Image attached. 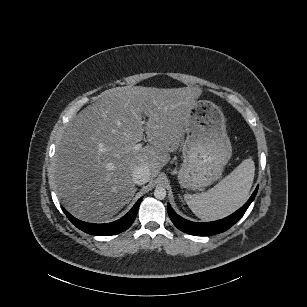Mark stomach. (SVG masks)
Here are the masks:
<instances>
[{
    "label": "stomach",
    "instance_id": "stomach-1",
    "mask_svg": "<svg viewBox=\"0 0 307 307\" xmlns=\"http://www.w3.org/2000/svg\"><path fill=\"white\" fill-rule=\"evenodd\" d=\"M187 134L182 153L184 163L178 173L181 187L200 190L218 180L232 156L226 120L220 107L198 100L186 118Z\"/></svg>",
    "mask_w": 307,
    "mask_h": 307
}]
</instances>
